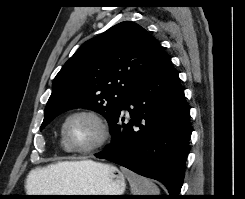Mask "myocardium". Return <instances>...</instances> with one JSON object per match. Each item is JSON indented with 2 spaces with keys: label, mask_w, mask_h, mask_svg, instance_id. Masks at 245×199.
Returning a JSON list of instances; mask_svg holds the SVG:
<instances>
[{
  "label": "myocardium",
  "mask_w": 245,
  "mask_h": 199,
  "mask_svg": "<svg viewBox=\"0 0 245 199\" xmlns=\"http://www.w3.org/2000/svg\"><path fill=\"white\" fill-rule=\"evenodd\" d=\"M78 116L89 117L93 121H95L97 125L99 126L100 137L96 143H94L93 145L89 147H84V148L76 147L70 142L68 138L67 126L74 117H78ZM61 136L66 146L71 152L78 153V154H92L102 149L109 142L111 138V130H110L107 120L98 112L91 110V109H78V110H75L69 113L66 116L62 124V127H61Z\"/></svg>",
  "instance_id": "obj_1"
}]
</instances>
